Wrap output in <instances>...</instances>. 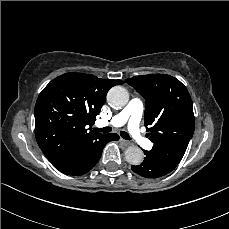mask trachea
<instances>
[{"mask_svg":"<svg viewBox=\"0 0 229 229\" xmlns=\"http://www.w3.org/2000/svg\"><path fill=\"white\" fill-rule=\"evenodd\" d=\"M93 129L95 131H97V132H102V133H109V132L112 131V127H110V126H107V127H104V128H93ZM120 136L122 138L126 139V140H130L131 139L129 134L127 132H125V131H122V130L120 131Z\"/></svg>","mask_w":229,"mask_h":229,"instance_id":"trachea-1","label":"trachea"}]
</instances>
